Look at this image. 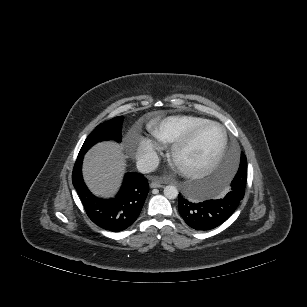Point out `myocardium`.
Wrapping results in <instances>:
<instances>
[{
    "instance_id": "1",
    "label": "myocardium",
    "mask_w": 307,
    "mask_h": 307,
    "mask_svg": "<svg viewBox=\"0 0 307 307\" xmlns=\"http://www.w3.org/2000/svg\"><path fill=\"white\" fill-rule=\"evenodd\" d=\"M209 126H216L220 129L222 134V142L220 147L218 148L217 152L213 156V158L205 165L198 167V168H181L176 164V159L178 155L186 149L188 146L191 145V143L194 141V139L197 137V135L205 128ZM228 145V135L225 130V128L216 121H207L205 123H202L193 129H191L183 138L178 140L176 143L173 144L171 150H170V158L172 163L178 168V170L186 177L190 178H199L203 177L207 174H209L218 164L220 159L222 158L226 148Z\"/></svg>"
}]
</instances>
